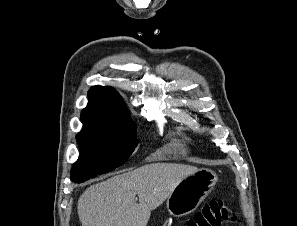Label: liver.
<instances>
[{"mask_svg": "<svg viewBox=\"0 0 297 226\" xmlns=\"http://www.w3.org/2000/svg\"><path fill=\"white\" fill-rule=\"evenodd\" d=\"M196 171L190 165L152 163L91 185L78 200L80 222L82 226H146L151 211Z\"/></svg>", "mask_w": 297, "mask_h": 226, "instance_id": "6515ba94", "label": "liver"}]
</instances>
